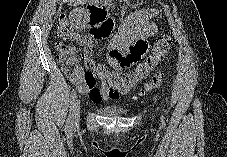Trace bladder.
<instances>
[{
    "label": "bladder",
    "instance_id": "31cf9c89",
    "mask_svg": "<svg viewBox=\"0 0 227 157\" xmlns=\"http://www.w3.org/2000/svg\"><path fill=\"white\" fill-rule=\"evenodd\" d=\"M99 111L106 116H121L127 113L125 109L117 106H106L99 109Z\"/></svg>",
    "mask_w": 227,
    "mask_h": 157
}]
</instances>
